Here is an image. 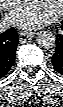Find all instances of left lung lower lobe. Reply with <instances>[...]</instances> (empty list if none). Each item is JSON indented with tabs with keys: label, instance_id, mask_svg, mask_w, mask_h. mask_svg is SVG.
Wrapping results in <instances>:
<instances>
[{
	"label": "left lung lower lobe",
	"instance_id": "1",
	"mask_svg": "<svg viewBox=\"0 0 63 107\" xmlns=\"http://www.w3.org/2000/svg\"><path fill=\"white\" fill-rule=\"evenodd\" d=\"M62 31L56 37V51L52 56V64L54 69L63 75V22Z\"/></svg>",
	"mask_w": 63,
	"mask_h": 107
}]
</instances>
